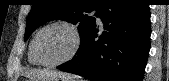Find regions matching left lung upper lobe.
Masks as SVG:
<instances>
[{"mask_svg":"<svg viewBox=\"0 0 169 81\" xmlns=\"http://www.w3.org/2000/svg\"><path fill=\"white\" fill-rule=\"evenodd\" d=\"M106 0H33L31 11L26 20V41L34 30L50 20L61 19L73 24L79 23L81 41L95 25V17L85 15L96 10L98 16Z\"/></svg>","mask_w":169,"mask_h":81,"instance_id":"obj_1","label":"left lung upper lobe"}]
</instances>
